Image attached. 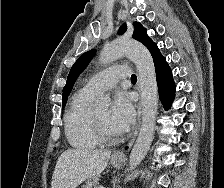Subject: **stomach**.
<instances>
[{"mask_svg": "<svg viewBox=\"0 0 224 188\" xmlns=\"http://www.w3.org/2000/svg\"><path fill=\"white\" fill-rule=\"evenodd\" d=\"M111 163L114 167H120L123 163V159H111Z\"/></svg>", "mask_w": 224, "mask_h": 188, "instance_id": "stomach-1", "label": "stomach"}]
</instances>
